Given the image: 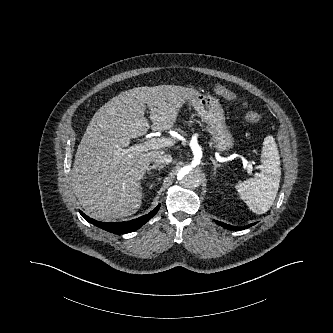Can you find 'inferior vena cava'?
Here are the masks:
<instances>
[{
  "instance_id": "1",
  "label": "inferior vena cava",
  "mask_w": 333,
  "mask_h": 333,
  "mask_svg": "<svg viewBox=\"0 0 333 333\" xmlns=\"http://www.w3.org/2000/svg\"><path fill=\"white\" fill-rule=\"evenodd\" d=\"M152 161L156 164L165 165L172 162V156L170 154H155Z\"/></svg>"
}]
</instances>
